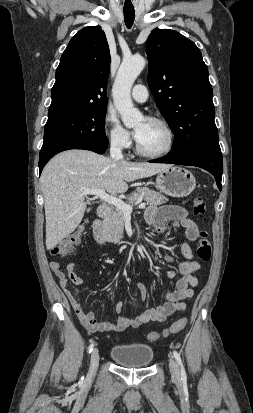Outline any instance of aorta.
<instances>
[{
    "mask_svg": "<svg viewBox=\"0 0 253 413\" xmlns=\"http://www.w3.org/2000/svg\"><path fill=\"white\" fill-rule=\"evenodd\" d=\"M145 64V59L139 55L123 59L112 88L114 105L126 127H133L142 120V113L133 105L131 89Z\"/></svg>",
    "mask_w": 253,
    "mask_h": 413,
    "instance_id": "obj_1",
    "label": "aorta"
}]
</instances>
